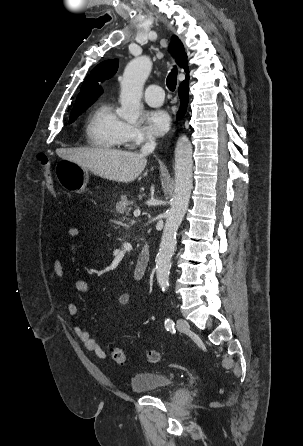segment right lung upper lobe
I'll return each mask as SVG.
<instances>
[{
	"label": "right lung upper lobe",
	"mask_w": 303,
	"mask_h": 446,
	"mask_svg": "<svg viewBox=\"0 0 303 446\" xmlns=\"http://www.w3.org/2000/svg\"><path fill=\"white\" fill-rule=\"evenodd\" d=\"M170 52L176 58L177 64L185 69L186 79L189 80V71L187 69V55L183 50V45L178 37L173 36L170 45ZM118 68V60H108L98 64L87 76L81 86L79 95L77 96L74 108L94 103L102 94L103 90L99 86L100 83L114 76ZM73 108V109H74Z\"/></svg>",
	"instance_id": "obj_1"
}]
</instances>
